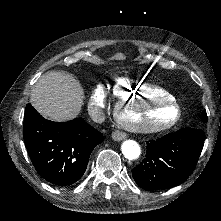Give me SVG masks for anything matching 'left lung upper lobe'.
Masks as SVG:
<instances>
[{
    "label": "left lung upper lobe",
    "instance_id": "obj_1",
    "mask_svg": "<svg viewBox=\"0 0 221 221\" xmlns=\"http://www.w3.org/2000/svg\"><path fill=\"white\" fill-rule=\"evenodd\" d=\"M202 119H203V121H207V114H206V110H203V112H202Z\"/></svg>",
    "mask_w": 221,
    "mask_h": 221
}]
</instances>
